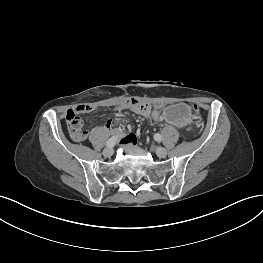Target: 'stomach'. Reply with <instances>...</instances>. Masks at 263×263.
<instances>
[{
  "mask_svg": "<svg viewBox=\"0 0 263 263\" xmlns=\"http://www.w3.org/2000/svg\"><path fill=\"white\" fill-rule=\"evenodd\" d=\"M161 122L171 124L177 130L184 129L189 133L199 130L201 121L194 115L192 109L183 102H169L161 107L158 112Z\"/></svg>",
  "mask_w": 263,
  "mask_h": 263,
  "instance_id": "obj_1",
  "label": "stomach"
}]
</instances>
